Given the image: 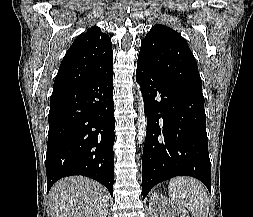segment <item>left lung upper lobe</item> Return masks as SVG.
I'll return each instance as SVG.
<instances>
[{"label":"left lung upper lobe","instance_id":"5c2ea615","mask_svg":"<svg viewBox=\"0 0 253 217\" xmlns=\"http://www.w3.org/2000/svg\"><path fill=\"white\" fill-rule=\"evenodd\" d=\"M138 61L161 78L202 94L193 53L186 40L173 29L154 25L141 43Z\"/></svg>","mask_w":253,"mask_h":217}]
</instances>
